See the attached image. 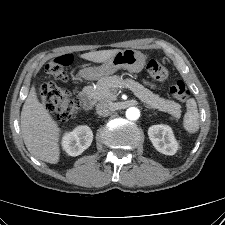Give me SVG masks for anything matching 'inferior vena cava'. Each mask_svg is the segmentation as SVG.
I'll return each instance as SVG.
<instances>
[{
	"mask_svg": "<svg viewBox=\"0 0 225 225\" xmlns=\"http://www.w3.org/2000/svg\"><path fill=\"white\" fill-rule=\"evenodd\" d=\"M113 109V103L110 101H100L96 105V111L100 116H108Z\"/></svg>",
	"mask_w": 225,
	"mask_h": 225,
	"instance_id": "obj_1",
	"label": "inferior vena cava"
}]
</instances>
